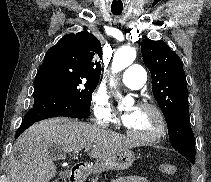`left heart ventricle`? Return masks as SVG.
Wrapping results in <instances>:
<instances>
[{
    "label": "left heart ventricle",
    "mask_w": 211,
    "mask_h": 182,
    "mask_svg": "<svg viewBox=\"0 0 211 182\" xmlns=\"http://www.w3.org/2000/svg\"><path fill=\"white\" fill-rule=\"evenodd\" d=\"M127 126L139 136H150L158 128V119L153 111L139 107L136 108L134 119Z\"/></svg>",
    "instance_id": "obj_1"
}]
</instances>
